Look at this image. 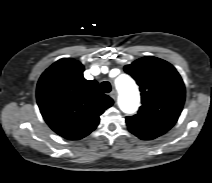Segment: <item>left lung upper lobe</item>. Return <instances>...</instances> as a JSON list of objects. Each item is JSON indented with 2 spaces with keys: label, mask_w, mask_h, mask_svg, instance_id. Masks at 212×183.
<instances>
[{
  "label": "left lung upper lobe",
  "mask_w": 212,
  "mask_h": 183,
  "mask_svg": "<svg viewBox=\"0 0 212 183\" xmlns=\"http://www.w3.org/2000/svg\"><path fill=\"white\" fill-rule=\"evenodd\" d=\"M138 83L142 106L134 116L127 117L130 132L156 138L177 121L185 100L184 83L168 62L146 56L124 67Z\"/></svg>",
  "instance_id": "5c2ea615"
}]
</instances>
